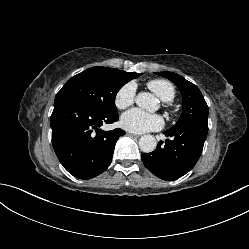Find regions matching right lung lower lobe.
Returning <instances> with one entry per match:
<instances>
[{"label":"right lung lower lobe","instance_id":"right-lung-lower-lobe-1","mask_svg":"<svg viewBox=\"0 0 249 249\" xmlns=\"http://www.w3.org/2000/svg\"><path fill=\"white\" fill-rule=\"evenodd\" d=\"M118 119V113H97L68 97L55 98L50 118L52 145L70 174L90 179L109 167L115 144L125 131H103L100 127Z\"/></svg>","mask_w":249,"mask_h":249}]
</instances>
